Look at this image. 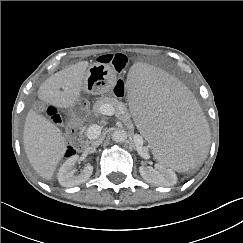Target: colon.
<instances>
[{
    "label": "colon",
    "mask_w": 243,
    "mask_h": 243,
    "mask_svg": "<svg viewBox=\"0 0 243 243\" xmlns=\"http://www.w3.org/2000/svg\"><path fill=\"white\" fill-rule=\"evenodd\" d=\"M128 58L125 54H106L98 58V63L101 65H106L112 67L116 72H121L127 65ZM114 93L116 96L120 97L125 94V85L122 80H118L114 86ZM44 113L48 114V117L52 119L55 123H60L61 117L59 115V110L54 108L52 105L44 106ZM77 141L72 137L69 145L64 150V155L70 157L75 153V147H77Z\"/></svg>",
    "instance_id": "5ec220e1"
}]
</instances>
